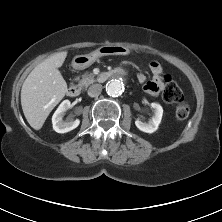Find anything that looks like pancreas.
Instances as JSON below:
<instances>
[{
    "mask_svg": "<svg viewBox=\"0 0 222 222\" xmlns=\"http://www.w3.org/2000/svg\"><path fill=\"white\" fill-rule=\"evenodd\" d=\"M96 81L97 79H95V75L93 73L86 72L82 75V78L79 80L78 86L81 88H86Z\"/></svg>",
    "mask_w": 222,
    "mask_h": 222,
    "instance_id": "pancreas-1",
    "label": "pancreas"
}]
</instances>
